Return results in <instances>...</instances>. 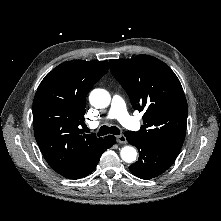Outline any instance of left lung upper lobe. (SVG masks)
<instances>
[{
  "instance_id": "1",
  "label": "left lung upper lobe",
  "mask_w": 221,
  "mask_h": 221,
  "mask_svg": "<svg viewBox=\"0 0 221 221\" xmlns=\"http://www.w3.org/2000/svg\"><path fill=\"white\" fill-rule=\"evenodd\" d=\"M109 64L134 109L145 111L144 125L134 133L153 144L180 150L188 107L181 83L171 68L149 55L110 60Z\"/></svg>"
}]
</instances>
